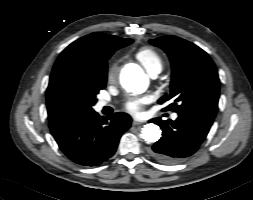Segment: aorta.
I'll use <instances>...</instances> for the list:
<instances>
[{
    "mask_svg": "<svg viewBox=\"0 0 253 200\" xmlns=\"http://www.w3.org/2000/svg\"><path fill=\"white\" fill-rule=\"evenodd\" d=\"M121 84L128 92L141 94L147 89L149 79L142 70L135 68L121 75ZM141 136L146 142L154 143L160 139L161 130L156 124L149 123L142 128Z\"/></svg>",
    "mask_w": 253,
    "mask_h": 200,
    "instance_id": "1",
    "label": "aorta"
}]
</instances>
